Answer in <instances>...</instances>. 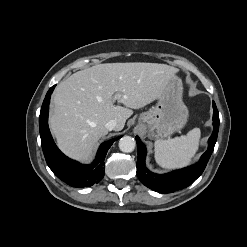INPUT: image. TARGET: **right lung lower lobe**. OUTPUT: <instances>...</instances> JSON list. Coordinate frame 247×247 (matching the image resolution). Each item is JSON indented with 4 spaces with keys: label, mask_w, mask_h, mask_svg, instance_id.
Here are the masks:
<instances>
[{
    "label": "right lung lower lobe",
    "mask_w": 247,
    "mask_h": 247,
    "mask_svg": "<svg viewBox=\"0 0 247 247\" xmlns=\"http://www.w3.org/2000/svg\"><path fill=\"white\" fill-rule=\"evenodd\" d=\"M55 86L47 92L39 117L41 145L46 162L52 172L66 184L74 187L92 186L103 178L106 153L120 137L102 143L96 159L90 165H83L66 157L55 145L48 127L49 102Z\"/></svg>",
    "instance_id": "1"
}]
</instances>
